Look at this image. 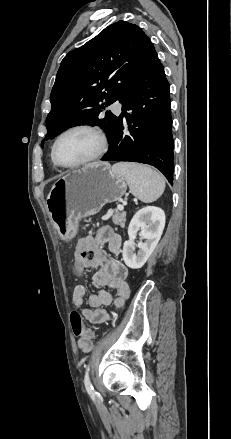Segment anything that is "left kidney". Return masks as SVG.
<instances>
[{
  "mask_svg": "<svg viewBox=\"0 0 231 439\" xmlns=\"http://www.w3.org/2000/svg\"><path fill=\"white\" fill-rule=\"evenodd\" d=\"M165 226L164 211L155 206H146L140 209L132 218L128 227L129 239L123 245V260L131 269L141 268L156 248ZM140 232V242L135 253L134 239ZM145 239V242L142 240Z\"/></svg>",
  "mask_w": 231,
  "mask_h": 439,
  "instance_id": "left-kidney-1",
  "label": "left kidney"
}]
</instances>
